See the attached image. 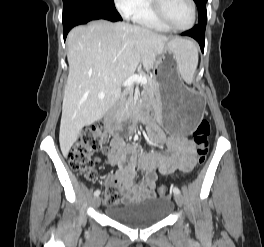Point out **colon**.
<instances>
[{
  "instance_id": "5ec220e1",
  "label": "colon",
  "mask_w": 264,
  "mask_h": 247,
  "mask_svg": "<svg viewBox=\"0 0 264 247\" xmlns=\"http://www.w3.org/2000/svg\"><path fill=\"white\" fill-rule=\"evenodd\" d=\"M209 135L210 124L206 119H203L198 123L193 133V141L196 146V156L199 164H203L206 160ZM103 141L104 133L101 130L92 133H82L67 155L70 168L88 180H97L98 173L94 155L101 151ZM157 193L161 197H166L169 194V190L166 186L161 185L157 188ZM119 201V189L111 183L106 191L105 202L107 205H116Z\"/></svg>"
}]
</instances>
